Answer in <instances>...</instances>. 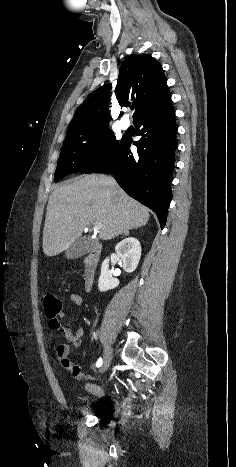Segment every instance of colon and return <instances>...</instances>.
I'll list each match as a JSON object with an SVG mask.
<instances>
[{
  "label": "colon",
  "instance_id": "colon-1",
  "mask_svg": "<svg viewBox=\"0 0 236 467\" xmlns=\"http://www.w3.org/2000/svg\"><path fill=\"white\" fill-rule=\"evenodd\" d=\"M41 303L44 308V313L47 317H55L62 310V302L54 294H43L41 297Z\"/></svg>",
  "mask_w": 236,
  "mask_h": 467
}]
</instances>
